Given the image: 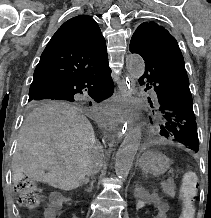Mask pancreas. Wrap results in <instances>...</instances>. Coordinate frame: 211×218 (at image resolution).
Wrapping results in <instances>:
<instances>
[{"mask_svg": "<svg viewBox=\"0 0 211 218\" xmlns=\"http://www.w3.org/2000/svg\"><path fill=\"white\" fill-rule=\"evenodd\" d=\"M161 188L164 192V194H168V196H171V198H174L176 192V184H174L173 180H168V182H162Z\"/></svg>", "mask_w": 211, "mask_h": 218, "instance_id": "1", "label": "pancreas"}]
</instances>
